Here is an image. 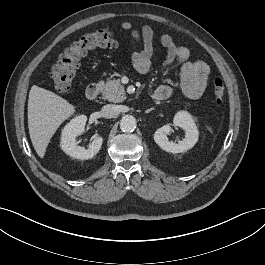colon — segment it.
<instances>
[{"label":"colon","mask_w":265,"mask_h":265,"mask_svg":"<svg viewBox=\"0 0 265 265\" xmlns=\"http://www.w3.org/2000/svg\"><path fill=\"white\" fill-rule=\"evenodd\" d=\"M116 45L113 33L98 30L83 35L67 47L59 56L51 69V80L56 91L66 94L70 91L73 81L80 67L82 57L95 48H111ZM214 102L221 105L225 98V87L221 80H215L212 87Z\"/></svg>","instance_id":"obj_1"}]
</instances>
